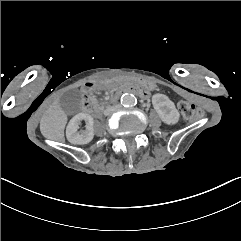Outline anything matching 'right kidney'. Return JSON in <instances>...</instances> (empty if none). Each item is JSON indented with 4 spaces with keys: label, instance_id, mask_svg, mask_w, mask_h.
Returning a JSON list of instances; mask_svg holds the SVG:
<instances>
[{
    "label": "right kidney",
    "instance_id": "ca27d5eb",
    "mask_svg": "<svg viewBox=\"0 0 241 241\" xmlns=\"http://www.w3.org/2000/svg\"><path fill=\"white\" fill-rule=\"evenodd\" d=\"M86 122V130L78 131L81 121ZM93 117L86 113L75 115L68 123L66 128L67 140L72 144H87L94 136Z\"/></svg>",
    "mask_w": 241,
    "mask_h": 241
}]
</instances>
